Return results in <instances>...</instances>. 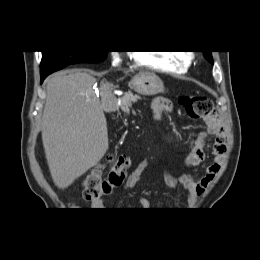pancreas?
Listing matches in <instances>:
<instances>
[{"instance_id":"obj_1","label":"pancreas","mask_w":260,"mask_h":260,"mask_svg":"<svg viewBox=\"0 0 260 260\" xmlns=\"http://www.w3.org/2000/svg\"><path fill=\"white\" fill-rule=\"evenodd\" d=\"M138 99H141L139 95H133L131 92L127 93L121 98V110L124 113L129 114L132 103L137 102Z\"/></svg>"}]
</instances>
